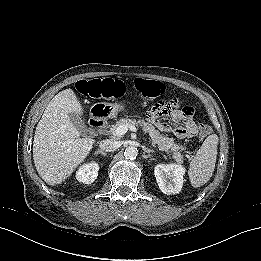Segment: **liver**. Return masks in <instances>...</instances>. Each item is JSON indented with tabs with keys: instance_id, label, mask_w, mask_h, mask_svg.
<instances>
[{
	"instance_id": "6515ba94",
	"label": "liver",
	"mask_w": 261,
	"mask_h": 261,
	"mask_svg": "<svg viewBox=\"0 0 261 261\" xmlns=\"http://www.w3.org/2000/svg\"><path fill=\"white\" fill-rule=\"evenodd\" d=\"M84 115L85 106L73 89L66 88L53 97L37 124L33 159L37 172L50 186L68 179L93 148L95 138L75 123Z\"/></svg>"
}]
</instances>
